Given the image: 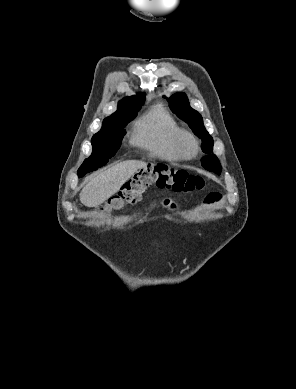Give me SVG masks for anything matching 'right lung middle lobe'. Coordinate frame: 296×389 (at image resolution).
<instances>
[{"label":"right lung middle lobe","mask_w":296,"mask_h":389,"mask_svg":"<svg viewBox=\"0 0 296 389\" xmlns=\"http://www.w3.org/2000/svg\"><path fill=\"white\" fill-rule=\"evenodd\" d=\"M139 110L140 108L133 109L116 117L104 119L101 130L92 137V155L84 161L81 167L105 165L121 145L125 135L123 127L136 117Z\"/></svg>","instance_id":"right-lung-middle-lobe-1"}]
</instances>
